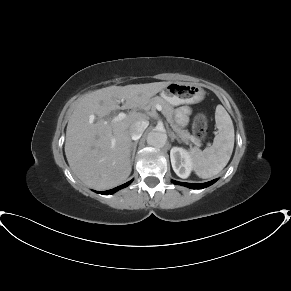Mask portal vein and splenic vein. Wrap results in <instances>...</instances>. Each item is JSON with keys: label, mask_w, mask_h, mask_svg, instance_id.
<instances>
[{"label": "portal vein and splenic vein", "mask_w": 291, "mask_h": 291, "mask_svg": "<svg viewBox=\"0 0 291 291\" xmlns=\"http://www.w3.org/2000/svg\"><path fill=\"white\" fill-rule=\"evenodd\" d=\"M155 108L158 110V111H162V107L161 105H156ZM127 115L123 112H120L117 116H115L113 118V121L117 122V121H121L123 120L124 118H126ZM193 139V138H192Z\"/></svg>", "instance_id": "obj_1"}]
</instances>
